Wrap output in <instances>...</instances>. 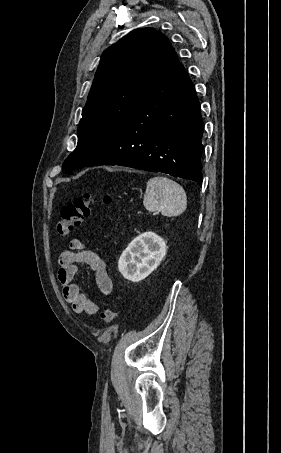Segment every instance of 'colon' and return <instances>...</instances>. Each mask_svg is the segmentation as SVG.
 <instances>
[{"mask_svg": "<svg viewBox=\"0 0 281 453\" xmlns=\"http://www.w3.org/2000/svg\"><path fill=\"white\" fill-rule=\"evenodd\" d=\"M100 200L107 203L111 202V198L107 195L86 194L63 204L61 216L57 221V231L62 235H67L80 227L88 218L92 206ZM115 316V307L107 305L102 308L100 319L103 325H110L115 320Z\"/></svg>", "mask_w": 281, "mask_h": 453, "instance_id": "5ec220e1", "label": "colon"}]
</instances>
